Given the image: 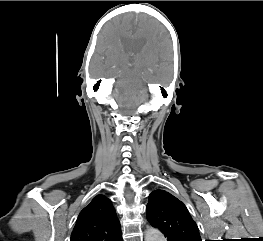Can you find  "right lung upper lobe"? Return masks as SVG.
I'll return each mask as SVG.
<instances>
[{
  "instance_id": "cb5924a9",
  "label": "right lung upper lobe",
  "mask_w": 263,
  "mask_h": 241,
  "mask_svg": "<svg viewBox=\"0 0 263 241\" xmlns=\"http://www.w3.org/2000/svg\"><path fill=\"white\" fill-rule=\"evenodd\" d=\"M70 241H122L111 200L97 195L79 214Z\"/></svg>"
}]
</instances>
